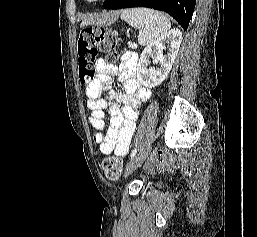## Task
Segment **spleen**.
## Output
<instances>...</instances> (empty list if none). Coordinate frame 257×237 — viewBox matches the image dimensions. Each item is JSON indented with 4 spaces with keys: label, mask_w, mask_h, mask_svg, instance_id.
<instances>
[{
    "label": "spleen",
    "mask_w": 257,
    "mask_h": 237,
    "mask_svg": "<svg viewBox=\"0 0 257 237\" xmlns=\"http://www.w3.org/2000/svg\"><path fill=\"white\" fill-rule=\"evenodd\" d=\"M121 19L139 29L138 43L142 46L165 35L171 27L170 21L162 13L146 8L126 9Z\"/></svg>",
    "instance_id": "obj_1"
}]
</instances>
